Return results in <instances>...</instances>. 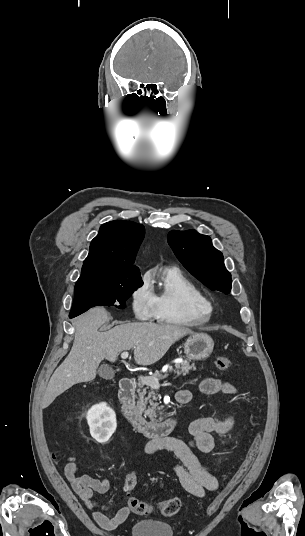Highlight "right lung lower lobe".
Masks as SVG:
<instances>
[{"instance_id":"right-lung-lower-lobe-1","label":"right lung lower lobe","mask_w":305,"mask_h":536,"mask_svg":"<svg viewBox=\"0 0 305 536\" xmlns=\"http://www.w3.org/2000/svg\"><path fill=\"white\" fill-rule=\"evenodd\" d=\"M76 316H78V315H76V314H70L69 315L70 318H73V317H76Z\"/></svg>"}]
</instances>
